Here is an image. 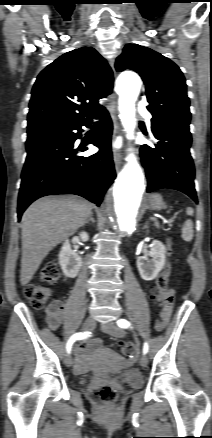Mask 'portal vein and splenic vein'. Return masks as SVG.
I'll return each instance as SVG.
<instances>
[{
    "instance_id": "1",
    "label": "portal vein and splenic vein",
    "mask_w": 212,
    "mask_h": 438,
    "mask_svg": "<svg viewBox=\"0 0 212 438\" xmlns=\"http://www.w3.org/2000/svg\"><path fill=\"white\" fill-rule=\"evenodd\" d=\"M171 222H172V220H171V219H169V220H164V223H165V224H168V225H170V224H171Z\"/></svg>"
}]
</instances>
